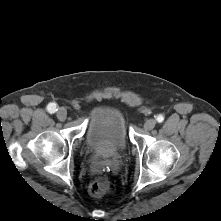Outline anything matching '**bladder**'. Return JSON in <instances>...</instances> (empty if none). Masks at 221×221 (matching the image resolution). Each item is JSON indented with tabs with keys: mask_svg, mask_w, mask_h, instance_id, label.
<instances>
[{
	"mask_svg": "<svg viewBox=\"0 0 221 221\" xmlns=\"http://www.w3.org/2000/svg\"><path fill=\"white\" fill-rule=\"evenodd\" d=\"M85 142L99 154H114L128 145V132L124 114L112 105H100L89 117Z\"/></svg>",
	"mask_w": 221,
	"mask_h": 221,
	"instance_id": "obj_1",
	"label": "bladder"
}]
</instances>
